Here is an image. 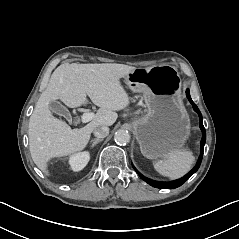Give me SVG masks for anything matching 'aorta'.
Instances as JSON below:
<instances>
[{"instance_id": "aorta-1", "label": "aorta", "mask_w": 239, "mask_h": 239, "mask_svg": "<svg viewBox=\"0 0 239 239\" xmlns=\"http://www.w3.org/2000/svg\"><path fill=\"white\" fill-rule=\"evenodd\" d=\"M130 138L129 132L124 129L117 130L114 135L115 142L122 145L129 143Z\"/></svg>"}]
</instances>
